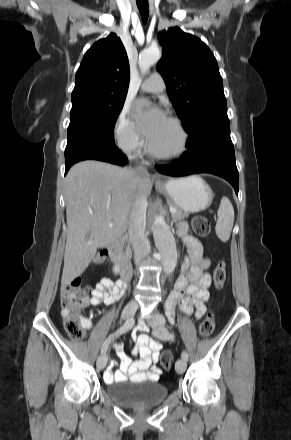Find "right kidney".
<instances>
[{"mask_svg":"<svg viewBox=\"0 0 291 440\" xmlns=\"http://www.w3.org/2000/svg\"><path fill=\"white\" fill-rule=\"evenodd\" d=\"M119 271H120V267H119V265H115L114 268H113V272H114L115 274H118Z\"/></svg>","mask_w":291,"mask_h":440,"instance_id":"ca27d5eb","label":"right kidney"}]
</instances>
